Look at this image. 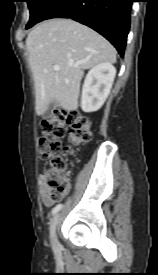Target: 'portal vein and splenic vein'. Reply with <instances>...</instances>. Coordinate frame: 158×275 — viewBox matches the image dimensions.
<instances>
[{"instance_id":"obj_1","label":"portal vein and splenic vein","mask_w":158,"mask_h":275,"mask_svg":"<svg viewBox=\"0 0 158 275\" xmlns=\"http://www.w3.org/2000/svg\"><path fill=\"white\" fill-rule=\"evenodd\" d=\"M53 69H54L55 71H58V70L60 69V66H59V65H54Z\"/></svg>"}]
</instances>
